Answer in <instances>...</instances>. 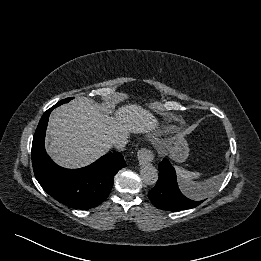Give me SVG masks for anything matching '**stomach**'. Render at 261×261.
I'll use <instances>...</instances> for the list:
<instances>
[{"mask_svg": "<svg viewBox=\"0 0 261 261\" xmlns=\"http://www.w3.org/2000/svg\"><path fill=\"white\" fill-rule=\"evenodd\" d=\"M169 156L176 162H184L189 156L188 143L183 136L178 135L169 148Z\"/></svg>", "mask_w": 261, "mask_h": 261, "instance_id": "stomach-1", "label": "stomach"}]
</instances>
